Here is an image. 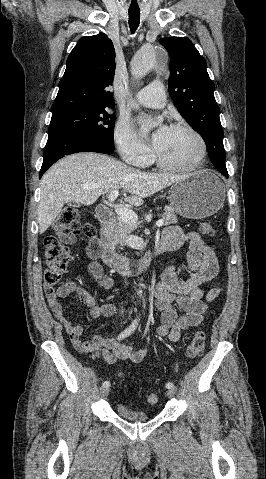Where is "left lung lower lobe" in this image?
<instances>
[{"instance_id":"1","label":"left lung lower lobe","mask_w":266,"mask_h":479,"mask_svg":"<svg viewBox=\"0 0 266 479\" xmlns=\"http://www.w3.org/2000/svg\"><path fill=\"white\" fill-rule=\"evenodd\" d=\"M224 176L228 177V172L225 170L220 171Z\"/></svg>"}]
</instances>
